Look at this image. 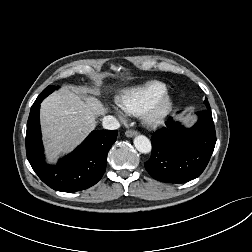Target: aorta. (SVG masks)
Wrapping results in <instances>:
<instances>
[{"label": "aorta", "instance_id": "aorta-1", "mask_svg": "<svg viewBox=\"0 0 252 252\" xmlns=\"http://www.w3.org/2000/svg\"><path fill=\"white\" fill-rule=\"evenodd\" d=\"M134 146L140 153H150L152 149L151 141L144 135H137L134 138Z\"/></svg>", "mask_w": 252, "mask_h": 252}]
</instances>
